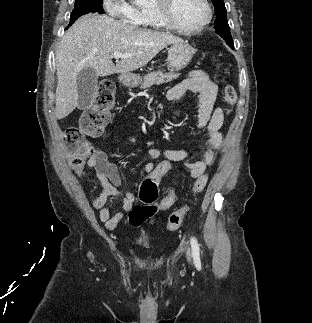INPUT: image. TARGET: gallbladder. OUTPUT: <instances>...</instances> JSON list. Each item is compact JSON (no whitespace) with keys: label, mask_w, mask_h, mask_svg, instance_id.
I'll return each instance as SVG.
<instances>
[{"label":"gallbladder","mask_w":312,"mask_h":323,"mask_svg":"<svg viewBox=\"0 0 312 323\" xmlns=\"http://www.w3.org/2000/svg\"><path fill=\"white\" fill-rule=\"evenodd\" d=\"M97 72L94 68H85L77 76L78 108L84 110L91 106L97 86Z\"/></svg>","instance_id":"bac80fb5"}]
</instances>
